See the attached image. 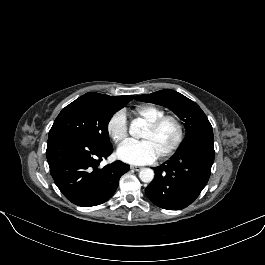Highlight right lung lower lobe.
<instances>
[{
    "label": "right lung lower lobe",
    "mask_w": 265,
    "mask_h": 265,
    "mask_svg": "<svg viewBox=\"0 0 265 265\" xmlns=\"http://www.w3.org/2000/svg\"><path fill=\"white\" fill-rule=\"evenodd\" d=\"M112 151V145L65 133L48 137L46 157L62 194L76 205L90 207L107 201L116 191L120 177L130 169L121 161L101 168L100 162Z\"/></svg>",
    "instance_id": "1"
}]
</instances>
